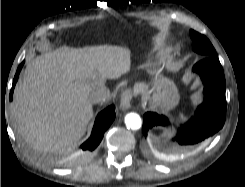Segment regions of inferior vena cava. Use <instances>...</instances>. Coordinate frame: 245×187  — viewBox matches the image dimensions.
Returning <instances> with one entry per match:
<instances>
[{
  "instance_id": "inferior-vena-cava-1",
  "label": "inferior vena cava",
  "mask_w": 245,
  "mask_h": 187,
  "mask_svg": "<svg viewBox=\"0 0 245 187\" xmlns=\"http://www.w3.org/2000/svg\"><path fill=\"white\" fill-rule=\"evenodd\" d=\"M110 97V90L104 85L96 87L90 92L89 99L93 104L103 103Z\"/></svg>"
}]
</instances>
